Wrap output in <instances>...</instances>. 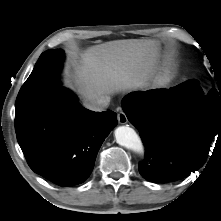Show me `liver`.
Returning a JSON list of instances; mask_svg holds the SVG:
<instances>
[{
    "mask_svg": "<svg viewBox=\"0 0 221 221\" xmlns=\"http://www.w3.org/2000/svg\"><path fill=\"white\" fill-rule=\"evenodd\" d=\"M158 57L154 40H116L89 47L73 63L78 92L86 102L146 87Z\"/></svg>",
    "mask_w": 221,
    "mask_h": 221,
    "instance_id": "6515ba94",
    "label": "liver"
}]
</instances>
